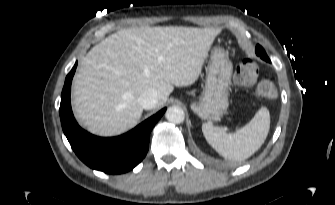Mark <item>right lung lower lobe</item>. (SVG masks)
Instances as JSON below:
<instances>
[{"label": "right lung lower lobe", "mask_w": 335, "mask_h": 205, "mask_svg": "<svg viewBox=\"0 0 335 205\" xmlns=\"http://www.w3.org/2000/svg\"><path fill=\"white\" fill-rule=\"evenodd\" d=\"M76 67L77 62L65 79L59 109L62 128L72 149L86 165L104 173L120 174L133 169L147 154L150 133L166 108L124 135L96 137L77 124L71 110L70 90Z\"/></svg>", "instance_id": "obj_1"}]
</instances>
